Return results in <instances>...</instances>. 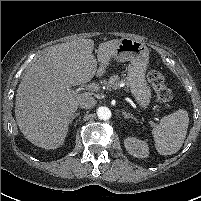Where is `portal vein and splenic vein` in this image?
Masks as SVG:
<instances>
[{
  "label": "portal vein and splenic vein",
  "instance_id": "18ae733b",
  "mask_svg": "<svg viewBox=\"0 0 201 201\" xmlns=\"http://www.w3.org/2000/svg\"><path fill=\"white\" fill-rule=\"evenodd\" d=\"M98 89H99L98 85H96L94 83L89 84L88 86L85 87V90H89V91H97ZM68 91L74 92V91H71V89H68Z\"/></svg>",
  "mask_w": 201,
  "mask_h": 201
}]
</instances>
